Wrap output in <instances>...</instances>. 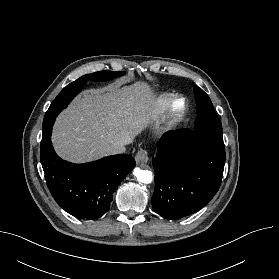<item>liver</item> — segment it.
Here are the masks:
<instances>
[{
    "label": "liver",
    "mask_w": 279,
    "mask_h": 279,
    "mask_svg": "<svg viewBox=\"0 0 279 279\" xmlns=\"http://www.w3.org/2000/svg\"><path fill=\"white\" fill-rule=\"evenodd\" d=\"M152 91L144 82L85 90L56 119L52 143L73 163L109 155L115 143L129 144L151 122Z\"/></svg>",
    "instance_id": "obj_1"
}]
</instances>
